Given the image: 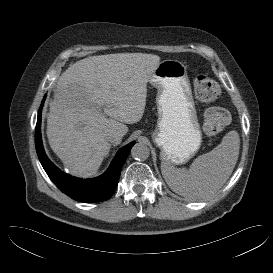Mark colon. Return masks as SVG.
<instances>
[{
    "instance_id": "5ec220e1",
    "label": "colon",
    "mask_w": 273,
    "mask_h": 273,
    "mask_svg": "<svg viewBox=\"0 0 273 273\" xmlns=\"http://www.w3.org/2000/svg\"><path fill=\"white\" fill-rule=\"evenodd\" d=\"M194 88L197 98L202 102H212L220 94L218 84L212 79L199 76L195 79ZM229 122V113L224 108L212 107L206 110L202 128L207 135H216L222 132Z\"/></svg>"
}]
</instances>
